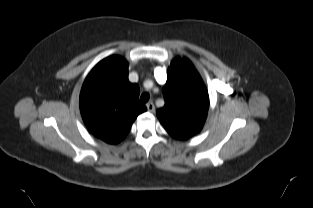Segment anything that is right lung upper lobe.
<instances>
[{
    "label": "right lung upper lobe",
    "mask_w": 313,
    "mask_h": 208,
    "mask_svg": "<svg viewBox=\"0 0 313 208\" xmlns=\"http://www.w3.org/2000/svg\"><path fill=\"white\" fill-rule=\"evenodd\" d=\"M147 109L139 102V87L128 80V63L120 56L100 61L85 79L80 111L90 132L109 144L128 134L137 116Z\"/></svg>",
    "instance_id": "obj_1"
}]
</instances>
